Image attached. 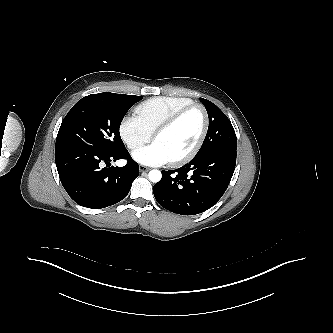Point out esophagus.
Segmentation results:
<instances>
[{
  "label": "esophagus",
  "mask_w": 333,
  "mask_h": 333,
  "mask_svg": "<svg viewBox=\"0 0 333 333\" xmlns=\"http://www.w3.org/2000/svg\"><path fill=\"white\" fill-rule=\"evenodd\" d=\"M139 170H140V172H148L150 169L148 167H146V166L141 165L139 167Z\"/></svg>",
  "instance_id": "esophagus-1"
}]
</instances>
